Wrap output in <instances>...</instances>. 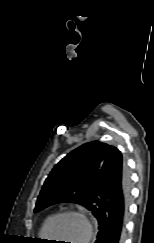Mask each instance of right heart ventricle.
<instances>
[{
    "instance_id": "obj_1",
    "label": "right heart ventricle",
    "mask_w": 154,
    "mask_h": 243,
    "mask_svg": "<svg viewBox=\"0 0 154 243\" xmlns=\"http://www.w3.org/2000/svg\"><path fill=\"white\" fill-rule=\"evenodd\" d=\"M51 217H52V215L47 216L46 219L44 220V222L42 223V226H41V229H40V233H39L42 238H46L47 237L46 233H45V228H46V225H47V223H48V221H49V219Z\"/></svg>"
}]
</instances>
